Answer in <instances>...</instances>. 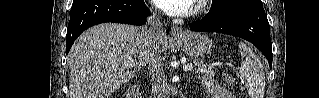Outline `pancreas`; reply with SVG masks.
Instances as JSON below:
<instances>
[{"label":"pancreas","instance_id":"pancreas-1","mask_svg":"<svg viewBox=\"0 0 319 98\" xmlns=\"http://www.w3.org/2000/svg\"><path fill=\"white\" fill-rule=\"evenodd\" d=\"M194 71L199 74H203L205 78L212 79L215 76L214 67L205 65L201 62H197Z\"/></svg>","mask_w":319,"mask_h":98}]
</instances>
